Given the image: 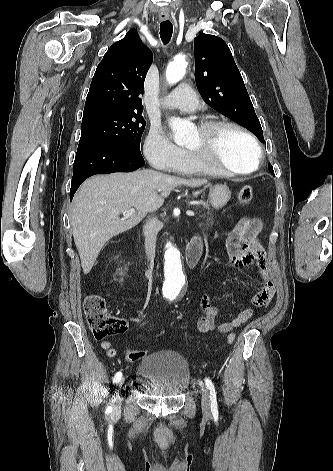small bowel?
I'll list each match as a JSON object with an SVG mask.
<instances>
[{
    "label": "small bowel",
    "mask_w": 333,
    "mask_h": 471,
    "mask_svg": "<svg viewBox=\"0 0 333 471\" xmlns=\"http://www.w3.org/2000/svg\"><path fill=\"white\" fill-rule=\"evenodd\" d=\"M262 230V222L255 218L241 219L226 240V249L230 262L238 268L255 265L263 287L252 298L255 306L266 308L272 301L275 293V284L270 276L266 262V252L258 236ZM201 314L197 320V327L201 333H208L217 329L220 333H230L235 328L246 323L253 315L251 308L238 313L231 321L217 323L218 308L214 306L208 295L200 299ZM131 321L142 324V317L131 318ZM101 348L108 357H114L116 350L109 341L101 342Z\"/></svg>",
    "instance_id": "obj_1"
}]
</instances>
